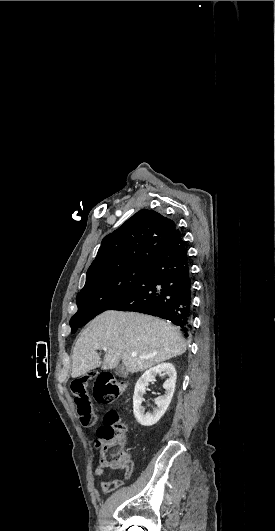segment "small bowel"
Returning a JSON list of instances; mask_svg holds the SVG:
<instances>
[{
  "mask_svg": "<svg viewBox=\"0 0 275 531\" xmlns=\"http://www.w3.org/2000/svg\"><path fill=\"white\" fill-rule=\"evenodd\" d=\"M121 459H131L130 455L127 453V452H122V454L120 455ZM108 471L107 468H104V467H100L96 470V475L97 476H102L104 474H106ZM131 475H123V477H127V479L130 477ZM100 489L102 490V492L104 494H110L111 492L117 490L118 488H109V486L107 485L106 481L104 482H101L100 483Z\"/></svg>",
  "mask_w": 275,
  "mask_h": 531,
  "instance_id": "small-bowel-1",
  "label": "small bowel"
}]
</instances>
